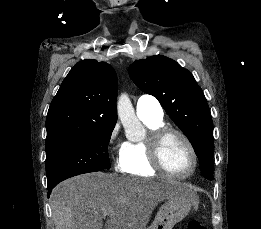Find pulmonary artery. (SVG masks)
Returning <instances> with one entry per match:
<instances>
[{
  "label": "pulmonary artery",
  "instance_id": "obj_1",
  "mask_svg": "<svg viewBox=\"0 0 261 229\" xmlns=\"http://www.w3.org/2000/svg\"><path fill=\"white\" fill-rule=\"evenodd\" d=\"M136 109L138 117L141 118L160 120L164 116L162 105L151 95H141L137 100Z\"/></svg>",
  "mask_w": 261,
  "mask_h": 229
}]
</instances>
